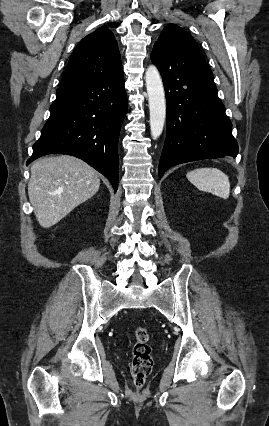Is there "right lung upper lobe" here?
I'll return each mask as SVG.
<instances>
[{"label":"right lung upper lobe","instance_id":"cb5924a9","mask_svg":"<svg viewBox=\"0 0 269 426\" xmlns=\"http://www.w3.org/2000/svg\"><path fill=\"white\" fill-rule=\"evenodd\" d=\"M122 72L117 41L101 27L84 37L71 54L60 87L94 82Z\"/></svg>","mask_w":269,"mask_h":426}]
</instances>
